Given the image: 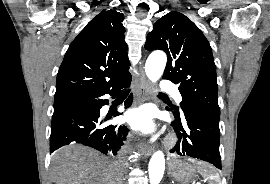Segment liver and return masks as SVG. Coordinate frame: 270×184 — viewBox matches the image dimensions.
<instances>
[{
    "label": "liver",
    "instance_id": "1",
    "mask_svg": "<svg viewBox=\"0 0 270 184\" xmlns=\"http://www.w3.org/2000/svg\"><path fill=\"white\" fill-rule=\"evenodd\" d=\"M115 162L78 144L59 149L52 159V184H117Z\"/></svg>",
    "mask_w": 270,
    "mask_h": 184
}]
</instances>
